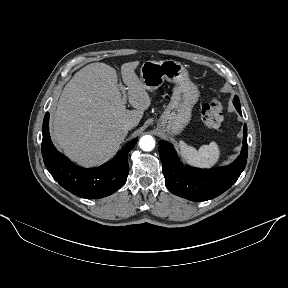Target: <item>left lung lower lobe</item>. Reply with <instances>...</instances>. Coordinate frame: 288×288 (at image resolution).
Here are the masks:
<instances>
[{"instance_id":"obj_1","label":"left lung lower lobe","mask_w":288,"mask_h":288,"mask_svg":"<svg viewBox=\"0 0 288 288\" xmlns=\"http://www.w3.org/2000/svg\"><path fill=\"white\" fill-rule=\"evenodd\" d=\"M242 115L240 104H234ZM243 147L239 157L229 166L217 169H198L184 166L171 144L159 142L163 174L167 188L177 196L191 201L213 199L229 189L243 172L248 156L247 126L244 125Z\"/></svg>"}]
</instances>
